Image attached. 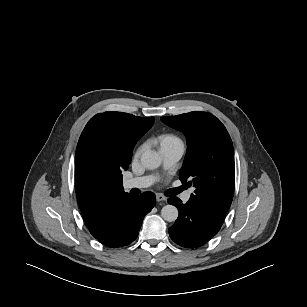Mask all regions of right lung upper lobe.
<instances>
[{"mask_svg":"<svg viewBox=\"0 0 307 307\" xmlns=\"http://www.w3.org/2000/svg\"><path fill=\"white\" fill-rule=\"evenodd\" d=\"M154 117L142 118L123 112L96 114L86 124L75 154V181L78 203L96 238H104L115 225L133 195L124 192L123 170L109 154L112 147L137 142L153 125Z\"/></svg>","mask_w":307,"mask_h":307,"instance_id":"cb5924a9","label":"right lung upper lobe"}]
</instances>
